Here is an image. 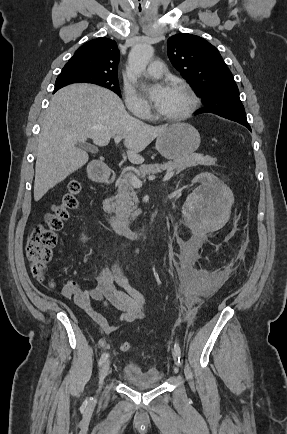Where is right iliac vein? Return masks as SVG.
I'll list each match as a JSON object with an SVG mask.
<instances>
[{
  "label": "right iliac vein",
  "instance_id": "right-iliac-vein-1",
  "mask_svg": "<svg viewBox=\"0 0 287 434\" xmlns=\"http://www.w3.org/2000/svg\"><path fill=\"white\" fill-rule=\"evenodd\" d=\"M109 370H110V361L106 360L103 363V366H102L100 373H99V390L103 384L105 377L108 375Z\"/></svg>",
  "mask_w": 287,
  "mask_h": 434
}]
</instances>
